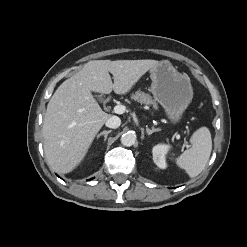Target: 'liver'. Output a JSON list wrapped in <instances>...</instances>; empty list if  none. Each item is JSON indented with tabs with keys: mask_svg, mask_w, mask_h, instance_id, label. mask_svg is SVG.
<instances>
[{
	"mask_svg": "<svg viewBox=\"0 0 247 247\" xmlns=\"http://www.w3.org/2000/svg\"><path fill=\"white\" fill-rule=\"evenodd\" d=\"M158 63L150 59L93 60L57 88L47 105L42 129L45 155L53 170L73 171L110 117L92 92L126 94Z\"/></svg>",
	"mask_w": 247,
	"mask_h": 247,
	"instance_id": "liver-1",
	"label": "liver"
}]
</instances>
